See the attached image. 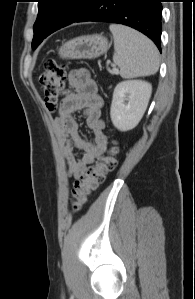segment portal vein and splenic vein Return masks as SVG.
<instances>
[{
  "label": "portal vein and splenic vein",
  "mask_w": 195,
  "mask_h": 299,
  "mask_svg": "<svg viewBox=\"0 0 195 299\" xmlns=\"http://www.w3.org/2000/svg\"><path fill=\"white\" fill-rule=\"evenodd\" d=\"M113 73H116V74H117V73H118V69L114 68V69H113Z\"/></svg>",
  "instance_id": "portal-vein-and-splenic-vein-1"
}]
</instances>
